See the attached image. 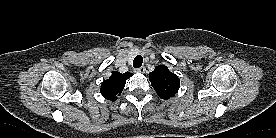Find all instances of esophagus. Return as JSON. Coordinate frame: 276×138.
I'll return each mask as SVG.
<instances>
[{"instance_id": "34e87169", "label": "esophagus", "mask_w": 276, "mask_h": 138, "mask_svg": "<svg viewBox=\"0 0 276 138\" xmlns=\"http://www.w3.org/2000/svg\"><path fill=\"white\" fill-rule=\"evenodd\" d=\"M137 71H138L139 73H145L146 68H145L144 66H141L140 68L137 69Z\"/></svg>"}]
</instances>
